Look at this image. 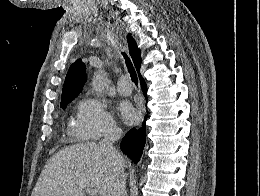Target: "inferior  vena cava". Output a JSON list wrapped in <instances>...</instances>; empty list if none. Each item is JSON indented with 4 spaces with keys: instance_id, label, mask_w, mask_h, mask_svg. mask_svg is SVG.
Returning <instances> with one entry per match:
<instances>
[{
    "instance_id": "obj_1",
    "label": "inferior vena cava",
    "mask_w": 260,
    "mask_h": 196,
    "mask_svg": "<svg viewBox=\"0 0 260 196\" xmlns=\"http://www.w3.org/2000/svg\"><path fill=\"white\" fill-rule=\"evenodd\" d=\"M120 136L121 132H118V130H110V132L106 134L104 140L99 142L100 150H103L105 154H111L113 162L117 166V172L114 176L113 186L109 196H125L126 192L124 158H122L120 152L113 146L114 142H117Z\"/></svg>"
}]
</instances>
